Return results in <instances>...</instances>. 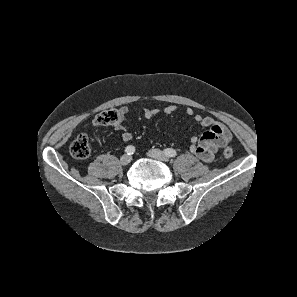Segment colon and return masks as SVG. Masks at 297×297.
Returning <instances> with one entry per match:
<instances>
[{"instance_id":"obj_1","label":"colon","mask_w":297,"mask_h":297,"mask_svg":"<svg viewBox=\"0 0 297 297\" xmlns=\"http://www.w3.org/2000/svg\"><path fill=\"white\" fill-rule=\"evenodd\" d=\"M120 121V112L117 109L103 111L96 115L94 124L99 126L115 125ZM91 152L89 139L86 135H79L70 145V154L76 159H86ZM232 149L225 147L222 150L221 157L228 160L232 156Z\"/></svg>"}]
</instances>
